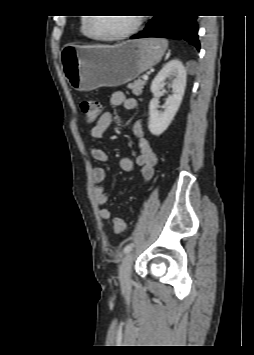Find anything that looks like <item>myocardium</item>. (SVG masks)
<instances>
[{
  "label": "myocardium",
  "mask_w": 254,
  "mask_h": 355,
  "mask_svg": "<svg viewBox=\"0 0 254 355\" xmlns=\"http://www.w3.org/2000/svg\"><path fill=\"white\" fill-rule=\"evenodd\" d=\"M94 16V15H91ZM134 22L132 24V26L126 30L125 32L119 34V35H114V36H102L99 35L95 32L94 29V22L96 20V17H88L87 19V23H86V27H87V31L89 36L97 41H121V40H125L129 37H131L132 35H134L138 29L141 26V22H142V18L140 17V15H134Z\"/></svg>",
  "instance_id": "myocardium-1"
}]
</instances>
